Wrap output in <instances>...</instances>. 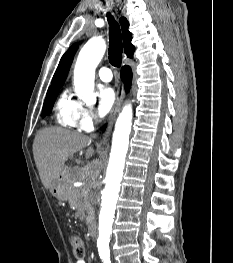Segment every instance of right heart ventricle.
<instances>
[{
    "label": "right heart ventricle",
    "instance_id": "e07e8e85",
    "mask_svg": "<svg viewBox=\"0 0 233 263\" xmlns=\"http://www.w3.org/2000/svg\"><path fill=\"white\" fill-rule=\"evenodd\" d=\"M78 108L77 101L73 100L67 92L62 93L55 107L57 122L64 127H76L75 116Z\"/></svg>",
    "mask_w": 233,
    "mask_h": 263
}]
</instances>
